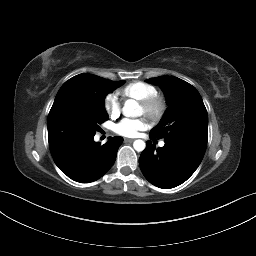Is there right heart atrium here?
<instances>
[{
	"label": "right heart atrium",
	"instance_id": "right-heart-atrium-1",
	"mask_svg": "<svg viewBox=\"0 0 256 256\" xmlns=\"http://www.w3.org/2000/svg\"><path fill=\"white\" fill-rule=\"evenodd\" d=\"M104 109L107 112V114L115 118L119 115L120 113V104L117 100V97L113 94H109L104 98Z\"/></svg>",
	"mask_w": 256,
	"mask_h": 256
}]
</instances>
